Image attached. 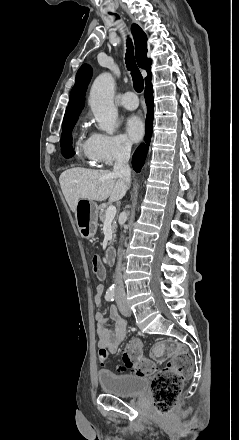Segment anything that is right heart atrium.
Wrapping results in <instances>:
<instances>
[{
	"mask_svg": "<svg viewBox=\"0 0 239 440\" xmlns=\"http://www.w3.org/2000/svg\"><path fill=\"white\" fill-rule=\"evenodd\" d=\"M127 150L123 139L92 131L86 139V152L103 166L112 165Z\"/></svg>",
	"mask_w": 239,
	"mask_h": 440,
	"instance_id": "obj_1",
	"label": "right heart atrium"
}]
</instances>
